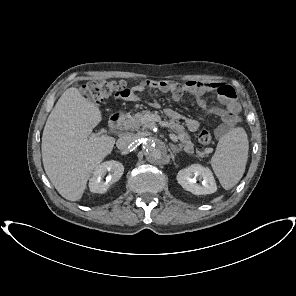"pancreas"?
Here are the masks:
<instances>
[{"label": "pancreas", "mask_w": 296, "mask_h": 296, "mask_svg": "<svg viewBox=\"0 0 296 296\" xmlns=\"http://www.w3.org/2000/svg\"><path fill=\"white\" fill-rule=\"evenodd\" d=\"M146 115H153L149 110L138 112L134 115L126 114L123 117V128L130 131H139L140 127L143 125L142 118ZM162 125L168 127L172 132L177 134L180 141V146L184 148L187 153H192L194 150V144L190 141L189 134L184 130V127L180 125V122L175 119H170L161 122ZM202 156L203 153L201 152Z\"/></svg>", "instance_id": "pancreas-1"}]
</instances>
